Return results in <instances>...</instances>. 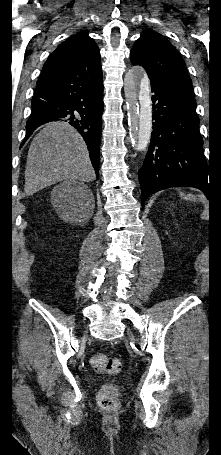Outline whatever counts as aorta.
Segmentation results:
<instances>
[{
  "mask_svg": "<svg viewBox=\"0 0 221 455\" xmlns=\"http://www.w3.org/2000/svg\"><path fill=\"white\" fill-rule=\"evenodd\" d=\"M128 125L132 146L145 150L152 133V106L149 80L145 70L134 66L124 77Z\"/></svg>",
  "mask_w": 221,
  "mask_h": 455,
  "instance_id": "762f6f07",
  "label": "aorta"
}]
</instances>
